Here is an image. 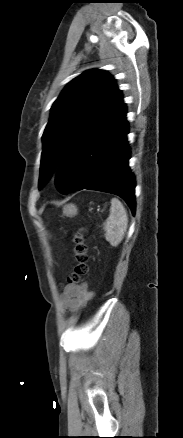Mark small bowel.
Instances as JSON below:
<instances>
[{
  "label": "small bowel",
  "instance_id": "obj_1",
  "mask_svg": "<svg viewBox=\"0 0 183 438\" xmlns=\"http://www.w3.org/2000/svg\"><path fill=\"white\" fill-rule=\"evenodd\" d=\"M94 294L86 283L69 284L62 294L64 306L71 312H77L84 308L93 298Z\"/></svg>",
  "mask_w": 183,
  "mask_h": 438
}]
</instances>
